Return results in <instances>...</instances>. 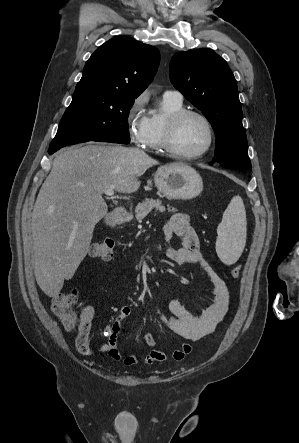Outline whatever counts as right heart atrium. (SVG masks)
I'll list each match as a JSON object with an SVG mask.
<instances>
[{"mask_svg":"<svg viewBox=\"0 0 299 443\" xmlns=\"http://www.w3.org/2000/svg\"><path fill=\"white\" fill-rule=\"evenodd\" d=\"M146 96L140 94L128 106L125 114V126L130 140L143 146L148 133V116L145 113Z\"/></svg>","mask_w":299,"mask_h":443,"instance_id":"d8ad5b80","label":"right heart atrium"}]
</instances>
